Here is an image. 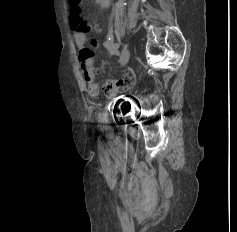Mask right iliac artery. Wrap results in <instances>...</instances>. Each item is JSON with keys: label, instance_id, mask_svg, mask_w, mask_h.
<instances>
[{"label": "right iliac artery", "instance_id": "right-iliac-artery-1", "mask_svg": "<svg viewBox=\"0 0 237 232\" xmlns=\"http://www.w3.org/2000/svg\"><path fill=\"white\" fill-rule=\"evenodd\" d=\"M113 46H114V48H117V47H118V44L114 43Z\"/></svg>", "mask_w": 237, "mask_h": 232}]
</instances>
